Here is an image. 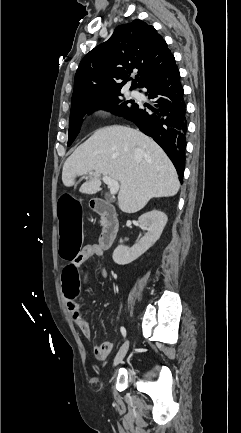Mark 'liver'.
Segmentation results:
<instances>
[{
	"label": "liver",
	"mask_w": 241,
	"mask_h": 433,
	"mask_svg": "<svg viewBox=\"0 0 241 433\" xmlns=\"http://www.w3.org/2000/svg\"><path fill=\"white\" fill-rule=\"evenodd\" d=\"M90 174L79 189L95 194L100 176L120 182L118 206L125 213H135L151 198L170 197L180 188L172 162L161 147L138 130L113 125L97 130L81 144L63 165L62 182L76 184L78 176Z\"/></svg>",
	"instance_id": "obj_1"
}]
</instances>
